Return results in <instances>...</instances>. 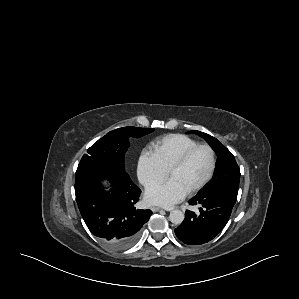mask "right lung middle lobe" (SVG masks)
Wrapping results in <instances>:
<instances>
[{
    "label": "right lung middle lobe",
    "mask_w": 299,
    "mask_h": 299,
    "mask_svg": "<svg viewBox=\"0 0 299 299\" xmlns=\"http://www.w3.org/2000/svg\"><path fill=\"white\" fill-rule=\"evenodd\" d=\"M153 128L122 127L115 129L94 143L81 158L79 165L90 162L108 164L125 175L124 154L129 147L130 137H141Z\"/></svg>",
    "instance_id": "dd1d6c3e"
}]
</instances>
